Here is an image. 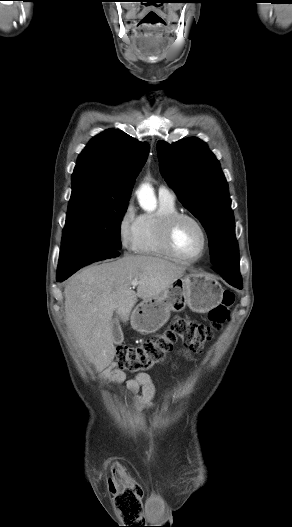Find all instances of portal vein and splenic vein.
Here are the masks:
<instances>
[{"label": "portal vein and splenic vein", "instance_id": "18ae733b", "mask_svg": "<svg viewBox=\"0 0 292 527\" xmlns=\"http://www.w3.org/2000/svg\"><path fill=\"white\" fill-rule=\"evenodd\" d=\"M138 284H139V282H138L137 280H133V281L131 282V285H132L133 287H136Z\"/></svg>", "mask_w": 292, "mask_h": 527}]
</instances>
